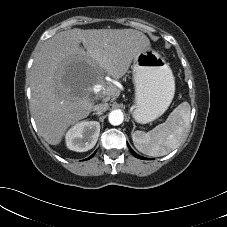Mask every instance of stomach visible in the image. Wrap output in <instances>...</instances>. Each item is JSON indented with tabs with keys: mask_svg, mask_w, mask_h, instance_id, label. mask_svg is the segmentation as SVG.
<instances>
[{
	"mask_svg": "<svg viewBox=\"0 0 227 227\" xmlns=\"http://www.w3.org/2000/svg\"><path fill=\"white\" fill-rule=\"evenodd\" d=\"M135 86L133 119L141 124L160 117L171 104L175 94V78L165 59L151 49H144L132 65Z\"/></svg>",
	"mask_w": 227,
	"mask_h": 227,
	"instance_id": "0dacf381",
	"label": "stomach"
}]
</instances>
